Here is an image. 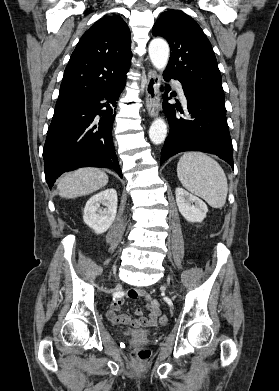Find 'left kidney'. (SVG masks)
I'll use <instances>...</instances> for the list:
<instances>
[{
    "mask_svg": "<svg viewBox=\"0 0 279 391\" xmlns=\"http://www.w3.org/2000/svg\"><path fill=\"white\" fill-rule=\"evenodd\" d=\"M176 203L181 215L189 222H201L208 212L207 205L183 188H176Z\"/></svg>",
    "mask_w": 279,
    "mask_h": 391,
    "instance_id": "5707ae66",
    "label": "left kidney"
}]
</instances>
